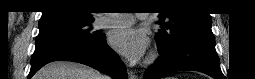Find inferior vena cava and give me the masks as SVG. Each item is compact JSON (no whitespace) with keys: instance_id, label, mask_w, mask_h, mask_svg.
Listing matches in <instances>:
<instances>
[{"instance_id":"obj_1","label":"inferior vena cava","mask_w":255,"mask_h":79,"mask_svg":"<svg viewBox=\"0 0 255 79\" xmlns=\"http://www.w3.org/2000/svg\"><path fill=\"white\" fill-rule=\"evenodd\" d=\"M103 79H109V77L108 76H104Z\"/></svg>"}]
</instances>
